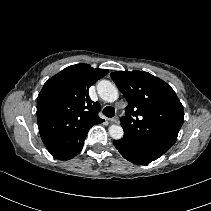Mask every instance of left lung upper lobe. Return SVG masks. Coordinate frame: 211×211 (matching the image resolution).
Segmentation results:
<instances>
[{
    "label": "left lung upper lobe",
    "instance_id": "1",
    "mask_svg": "<svg viewBox=\"0 0 211 211\" xmlns=\"http://www.w3.org/2000/svg\"><path fill=\"white\" fill-rule=\"evenodd\" d=\"M111 78L128 101L121 118L123 138L145 156L158 159L175 143L184 121L176 93L144 71H117Z\"/></svg>",
    "mask_w": 211,
    "mask_h": 211
}]
</instances>
